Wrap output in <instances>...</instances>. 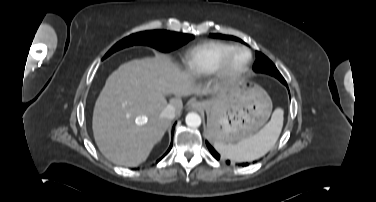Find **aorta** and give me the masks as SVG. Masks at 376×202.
Returning <instances> with one entry per match:
<instances>
[{
    "label": "aorta",
    "mask_w": 376,
    "mask_h": 202,
    "mask_svg": "<svg viewBox=\"0 0 376 202\" xmlns=\"http://www.w3.org/2000/svg\"><path fill=\"white\" fill-rule=\"evenodd\" d=\"M185 122L187 126L196 128L201 125L202 120L199 114L195 112H190L186 115Z\"/></svg>",
    "instance_id": "obj_1"
}]
</instances>
